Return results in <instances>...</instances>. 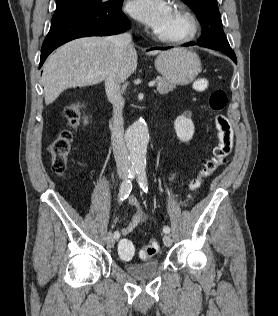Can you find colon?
<instances>
[{
  "mask_svg": "<svg viewBox=\"0 0 278 316\" xmlns=\"http://www.w3.org/2000/svg\"><path fill=\"white\" fill-rule=\"evenodd\" d=\"M207 83L198 80L195 83L197 90H204ZM228 102L227 94L222 89H215L209 96V107L215 112V128L218 142L213 149L211 157L206 159L197 176L190 182L191 192L197 191L203 181L212 175L220 166L225 164L227 157L233 148V130L228 118L223 114ZM64 116L70 127H75L79 122V106L71 105L64 110ZM73 134L71 129L62 130L57 137L49 144L48 151L51 156V166L53 172L62 176L67 168ZM159 250V243L152 239L149 244L140 251L141 258H149ZM118 252L121 258L130 259L135 253V247L130 240L123 239L119 242Z\"/></svg>",
  "mask_w": 278,
  "mask_h": 316,
  "instance_id": "5ec220e1",
  "label": "colon"
}]
</instances>
